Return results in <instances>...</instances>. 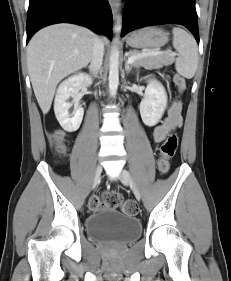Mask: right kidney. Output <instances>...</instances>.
<instances>
[{
	"label": "right kidney",
	"instance_id": "right-kidney-1",
	"mask_svg": "<svg viewBox=\"0 0 231 281\" xmlns=\"http://www.w3.org/2000/svg\"><path fill=\"white\" fill-rule=\"evenodd\" d=\"M91 78L84 73H77L64 80L58 87L54 112L61 127L67 132L76 131L82 122L84 109L79 105L81 95L80 89L91 84ZM73 97L72 103L67 100ZM74 104V111L69 114V108Z\"/></svg>",
	"mask_w": 231,
	"mask_h": 281
}]
</instances>
